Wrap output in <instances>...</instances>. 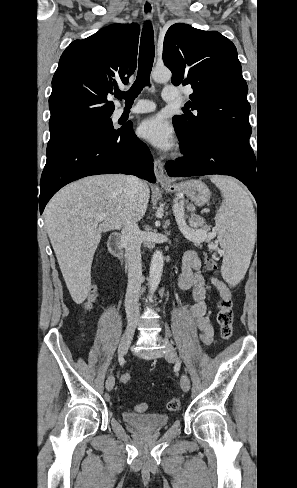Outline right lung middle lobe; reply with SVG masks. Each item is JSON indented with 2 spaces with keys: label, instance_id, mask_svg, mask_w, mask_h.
Instances as JSON below:
<instances>
[{
  "label": "right lung middle lobe",
  "instance_id": "1",
  "mask_svg": "<svg viewBox=\"0 0 297 488\" xmlns=\"http://www.w3.org/2000/svg\"><path fill=\"white\" fill-rule=\"evenodd\" d=\"M112 120L107 117L103 119H96L85 121L71 127L62 129L58 132L51 133L50 140L47 145V156L57 151L65 143L74 139L89 136L102 135L114 132Z\"/></svg>",
  "mask_w": 297,
  "mask_h": 488
}]
</instances>
